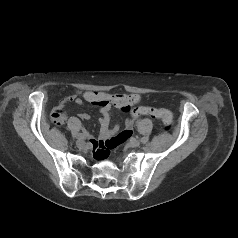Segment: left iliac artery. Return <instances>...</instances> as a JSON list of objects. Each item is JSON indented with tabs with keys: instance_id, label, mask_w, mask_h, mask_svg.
Here are the masks:
<instances>
[{
	"instance_id": "44dca946",
	"label": "left iliac artery",
	"mask_w": 238,
	"mask_h": 238,
	"mask_svg": "<svg viewBox=\"0 0 238 238\" xmlns=\"http://www.w3.org/2000/svg\"><path fill=\"white\" fill-rule=\"evenodd\" d=\"M141 142H146V138L145 137L141 138Z\"/></svg>"
}]
</instances>
